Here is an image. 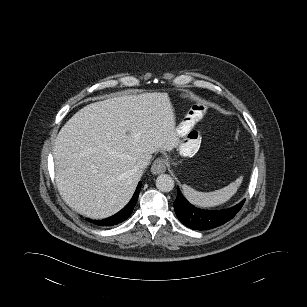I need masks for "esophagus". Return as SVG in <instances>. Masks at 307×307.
I'll list each match as a JSON object with an SVG mask.
<instances>
[{"instance_id":"esophagus-1","label":"esophagus","mask_w":307,"mask_h":307,"mask_svg":"<svg viewBox=\"0 0 307 307\" xmlns=\"http://www.w3.org/2000/svg\"><path fill=\"white\" fill-rule=\"evenodd\" d=\"M166 171V162L163 158H157L151 167V172L155 175L164 173Z\"/></svg>"}]
</instances>
